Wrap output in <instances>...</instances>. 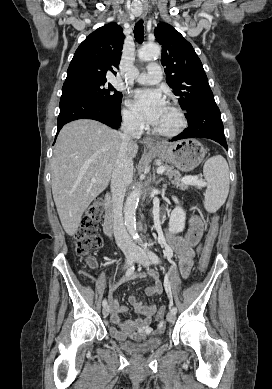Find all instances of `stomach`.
<instances>
[{
  "mask_svg": "<svg viewBox=\"0 0 272 389\" xmlns=\"http://www.w3.org/2000/svg\"><path fill=\"white\" fill-rule=\"evenodd\" d=\"M151 152L179 170L189 172L203 161L206 149L196 139H184L170 145H161Z\"/></svg>",
  "mask_w": 272,
  "mask_h": 389,
  "instance_id": "stomach-1",
  "label": "stomach"
}]
</instances>
